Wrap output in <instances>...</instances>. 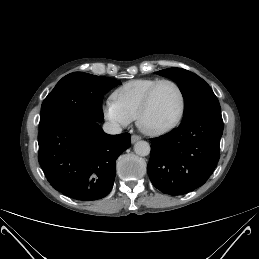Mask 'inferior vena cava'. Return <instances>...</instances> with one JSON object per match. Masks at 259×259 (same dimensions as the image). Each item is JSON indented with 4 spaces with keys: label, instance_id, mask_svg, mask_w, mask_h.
<instances>
[{
    "label": "inferior vena cava",
    "instance_id": "602c4592",
    "mask_svg": "<svg viewBox=\"0 0 259 259\" xmlns=\"http://www.w3.org/2000/svg\"><path fill=\"white\" fill-rule=\"evenodd\" d=\"M103 130L107 134H120L122 132V128L117 122H105Z\"/></svg>",
    "mask_w": 259,
    "mask_h": 259
}]
</instances>
